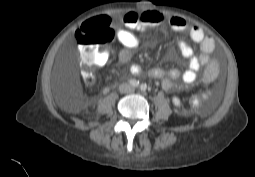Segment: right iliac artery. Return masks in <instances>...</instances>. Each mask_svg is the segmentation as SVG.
Here are the masks:
<instances>
[{"mask_svg": "<svg viewBox=\"0 0 255 177\" xmlns=\"http://www.w3.org/2000/svg\"><path fill=\"white\" fill-rule=\"evenodd\" d=\"M129 83H130L133 87H138V86H139V81H137V80H135V79L129 80Z\"/></svg>", "mask_w": 255, "mask_h": 177, "instance_id": "1", "label": "right iliac artery"}]
</instances>
